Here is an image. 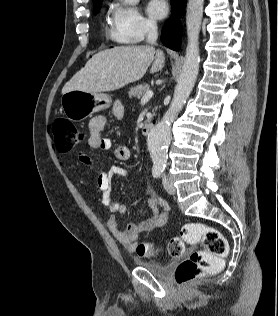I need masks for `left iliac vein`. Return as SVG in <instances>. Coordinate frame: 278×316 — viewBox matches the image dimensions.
Here are the masks:
<instances>
[{
  "mask_svg": "<svg viewBox=\"0 0 278 316\" xmlns=\"http://www.w3.org/2000/svg\"><path fill=\"white\" fill-rule=\"evenodd\" d=\"M163 185L168 194L174 195L176 190L173 184L166 178H163Z\"/></svg>",
  "mask_w": 278,
  "mask_h": 316,
  "instance_id": "obj_1",
  "label": "left iliac vein"
}]
</instances>
